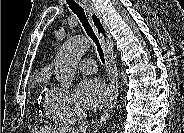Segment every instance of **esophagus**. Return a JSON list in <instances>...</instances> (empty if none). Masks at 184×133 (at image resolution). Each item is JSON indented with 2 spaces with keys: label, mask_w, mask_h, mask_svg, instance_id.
<instances>
[{
  "label": "esophagus",
  "mask_w": 184,
  "mask_h": 133,
  "mask_svg": "<svg viewBox=\"0 0 184 133\" xmlns=\"http://www.w3.org/2000/svg\"><path fill=\"white\" fill-rule=\"evenodd\" d=\"M81 5L89 15L90 21L96 33L101 39V42L103 44L104 51H105V58L108 65V70H109V82H110L109 96L110 97L100 117L99 125H102L110 116L116 103L113 92H114V83L117 81V69L114 61L113 46H112V41H111L108 28L104 24L102 18L100 17L96 8L93 6L92 2L89 0H83L81 1Z\"/></svg>",
  "instance_id": "1"
}]
</instances>
